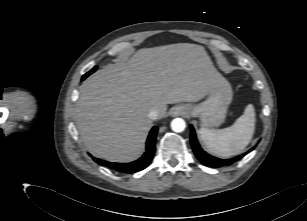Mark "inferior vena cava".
I'll return each instance as SVG.
<instances>
[{
    "mask_svg": "<svg viewBox=\"0 0 307 221\" xmlns=\"http://www.w3.org/2000/svg\"><path fill=\"white\" fill-rule=\"evenodd\" d=\"M148 117H149L151 120H156V119H158V118H159V112H158V110H156V109L151 110V111L149 112V114H148Z\"/></svg>",
    "mask_w": 307,
    "mask_h": 221,
    "instance_id": "1",
    "label": "inferior vena cava"
}]
</instances>
